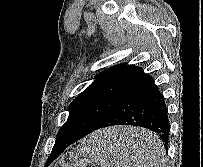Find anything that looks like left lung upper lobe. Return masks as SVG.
I'll use <instances>...</instances> for the list:
<instances>
[{
  "instance_id": "obj_1",
  "label": "left lung upper lobe",
  "mask_w": 203,
  "mask_h": 167,
  "mask_svg": "<svg viewBox=\"0 0 203 167\" xmlns=\"http://www.w3.org/2000/svg\"><path fill=\"white\" fill-rule=\"evenodd\" d=\"M141 70L135 65L122 63L97 75L95 81L70 104L69 117L56 140L73 135L85 136L96 130Z\"/></svg>"
}]
</instances>
